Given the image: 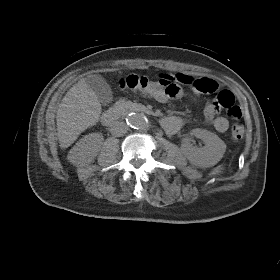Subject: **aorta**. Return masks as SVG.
Instances as JSON below:
<instances>
[{
  "mask_svg": "<svg viewBox=\"0 0 280 280\" xmlns=\"http://www.w3.org/2000/svg\"><path fill=\"white\" fill-rule=\"evenodd\" d=\"M128 125L134 129H143L148 125V119L141 113H131L126 119Z\"/></svg>",
  "mask_w": 280,
  "mask_h": 280,
  "instance_id": "obj_1",
  "label": "aorta"
}]
</instances>
